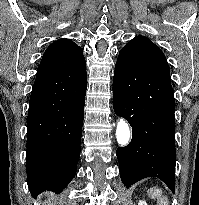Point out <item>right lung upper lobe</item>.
I'll list each match as a JSON object with an SVG mask.
<instances>
[{"label": "right lung upper lobe", "mask_w": 199, "mask_h": 205, "mask_svg": "<svg viewBox=\"0 0 199 205\" xmlns=\"http://www.w3.org/2000/svg\"><path fill=\"white\" fill-rule=\"evenodd\" d=\"M86 72L83 50L70 39H58L46 49L35 80L47 82L49 89L59 90L65 79Z\"/></svg>", "instance_id": "obj_1"}]
</instances>
